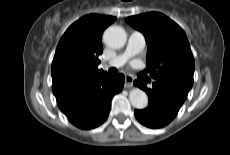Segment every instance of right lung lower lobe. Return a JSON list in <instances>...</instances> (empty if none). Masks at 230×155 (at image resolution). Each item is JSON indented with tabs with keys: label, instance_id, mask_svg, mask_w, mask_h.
I'll use <instances>...</instances> for the list:
<instances>
[{
	"label": "right lung lower lobe",
	"instance_id": "1",
	"mask_svg": "<svg viewBox=\"0 0 230 155\" xmlns=\"http://www.w3.org/2000/svg\"><path fill=\"white\" fill-rule=\"evenodd\" d=\"M123 74H105L72 92L55 96L68 120L81 129H92L107 118L113 96L122 91Z\"/></svg>",
	"mask_w": 230,
	"mask_h": 155
}]
</instances>
